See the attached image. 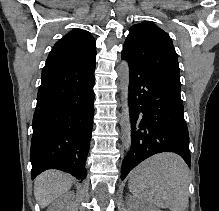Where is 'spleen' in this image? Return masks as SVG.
<instances>
[{
    "mask_svg": "<svg viewBox=\"0 0 219 211\" xmlns=\"http://www.w3.org/2000/svg\"><path fill=\"white\" fill-rule=\"evenodd\" d=\"M189 167L177 153H156L129 173V191L142 203L185 211Z\"/></svg>",
    "mask_w": 219,
    "mask_h": 211,
    "instance_id": "obj_1",
    "label": "spleen"
}]
</instances>
